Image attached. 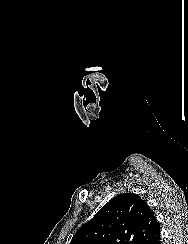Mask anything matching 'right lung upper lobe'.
<instances>
[{
  "instance_id": "obj_1",
  "label": "right lung upper lobe",
  "mask_w": 188,
  "mask_h": 244,
  "mask_svg": "<svg viewBox=\"0 0 188 244\" xmlns=\"http://www.w3.org/2000/svg\"><path fill=\"white\" fill-rule=\"evenodd\" d=\"M159 226L153 211L138 195L120 194L85 223L70 244H147Z\"/></svg>"
}]
</instances>
